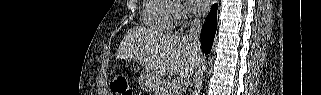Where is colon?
Listing matches in <instances>:
<instances>
[{
  "mask_svg": "<svg viewBox=\"0 0 321 95\" xmlns=\"http://www.w3.org/2000/svg\"><path fill=\"white\" fill-rule=\"evenodd\" d=\"M110 89L115 95H132V90L126 78L122 75H116L111 83Z\"/></svg>",
  "mask_w": 321,
  "mask_h": 95,
  "instance_id": "colon-1",
  "label": "colon"
}]
</instances>
